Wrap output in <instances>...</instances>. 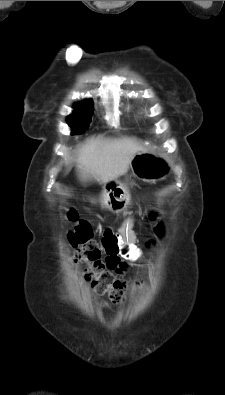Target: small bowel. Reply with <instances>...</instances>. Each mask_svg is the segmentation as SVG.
<instances>
[{"label":"small bowel","instance_id":"obj_1","mask_svg":"<svg viewBox=\"0 0 225 395\" xmlns=\"http://www.w3.org/2000/svg\"><path fill=\"white\" fill-rule=\"evenodd\" d=\"M123 238L106 231L102 237V246L106 252V256L112 260L110 264L111 270L122 273L126 268V262H137L142 258L141 251L134 245L133 238L127 230L122 231ZM65 252V249H61ZM61 260L67 259L66 253L60 254Z\"/></svg>","mask_w":225,"mask_h":395}]
</instances>
